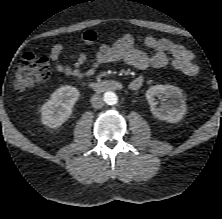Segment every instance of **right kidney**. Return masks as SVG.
I'll return each mask as SVG.
<instances>
[{"instance_id": "obj_1", "label": "right kidney", "mask_w": 222, "mask_h": 219, "mask_svg": "<svg viewBox=\"0 0 222 219\" xmlns=\"http://www.w3.org/2000/svg\"><path fill=\"white\" fill-rule=\"evenodd\" d=\"M79 96V91L69 85L61 86L54 91L51 98L41 107L42 124L50 128L60 127L70 118Z\"/></svg>"}]
</instances>
